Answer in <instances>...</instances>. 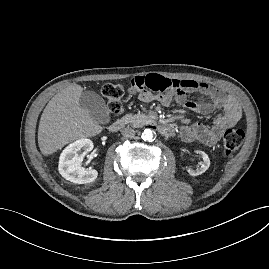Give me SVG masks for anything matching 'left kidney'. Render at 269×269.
Here are the masks:
<instances>
[{
    "label": "left kidney",
    "mask_w": 269,
    "mask_h": 269,
    "mask_svg": "<svg viewBox=\"0 0 269 269\" xmlns=\"http://www.w3.org/2000/svg\"><path fill=\"white\" fill-rule=\"evenodd\" d=\"M197 154H199V156H201L203 158V162L200 163V168H197L196 170L193 169H187V172L189 173V175L191 176H197V175H201L202 173H204L210 166V159L208 157V155L204 152V151H200L197 150L195 151Z\"/></svg>",
    "instance_id": "5707ae66"
}]
</instances>
